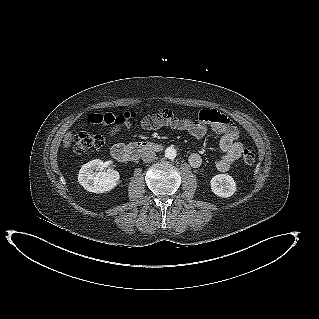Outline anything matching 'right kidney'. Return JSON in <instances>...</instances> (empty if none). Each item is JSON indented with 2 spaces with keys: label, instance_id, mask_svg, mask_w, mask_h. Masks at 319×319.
<instances>
[{
  "label": "right kidney",
  "instance_id": "right-kidney-1",
  "mask_svg": "<svg viewBox=\"0 0 319 319\" xmlns=\"http://www.w3.org/2000/svg\"><path fill=\"white\" fill-rule=\"evenodd\" d=\"M106 163L94 159L84 164L79 170L78 182L89 192L105 193L116 187L120 179L117 171L103 172Z\"/></svg>",
  "mask_w": 319,
  "mask_h": 319
}]
</instances>
